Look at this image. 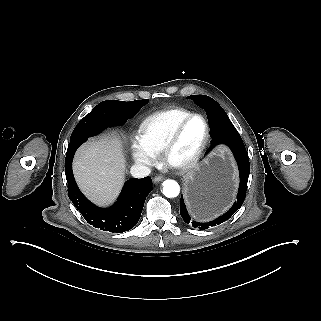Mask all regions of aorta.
<instances>
[{
  "instance_id": "obj_1",
  "label": "aorta",
  "mask_w": 321,
  "mask_h": 321,
  "mask_svg": "<svg viewBox=\"0 0 321 321\" xmlns=\"http://www.w3.org/2000/svg\"><path fill=\"white\" fill-rule=\"evenodd\" d=\"M180 193V186L174 180H166L163 182V194L168 198L177 197Z\"/></svg>"
}]
</instances>
